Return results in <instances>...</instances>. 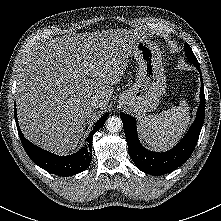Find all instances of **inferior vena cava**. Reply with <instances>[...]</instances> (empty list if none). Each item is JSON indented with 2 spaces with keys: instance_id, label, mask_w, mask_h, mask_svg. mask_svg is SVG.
Wrapping results in <instances>:
<instances>
[{
  "instance_id": "obj_1",
  "label": "inferior vena cava",
  "mask_w": 221,
  "mask_h": 221,
  "mask_svg": "<svg viewBox=\"0 0 221 221\" xmlns=\"http://www.w3.org/2000/svg\"><path fill=\"white\" fill-rule=\"evenodd\" d=\"M100 106V103L98 100H92L90 103H89V107L91 109H96Z\"/></svg>"
}]
</instances>
